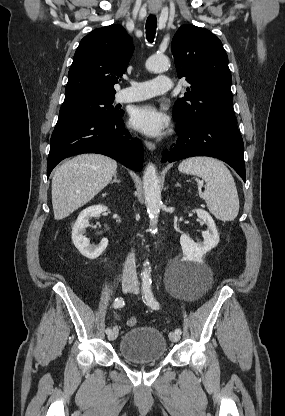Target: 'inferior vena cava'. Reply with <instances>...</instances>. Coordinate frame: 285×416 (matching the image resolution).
<instances>
[{
  "label": "inferior vena cava",
  "instance_id": "inferior-vena-cava-1",
  "mask_svg": "<svg viewBox=\"0 0 285 416\" xmlns=\"http://www.w3.org/2000/svg\"><path fill=\"white\" fill-rule=\"evenodd\" d=\"M125 276H136V266H135V256L134 254H129L125 266H124Z\"/></svg>",
  "mask_w": 285,
  "mask_h": 416
}]
</instances>
